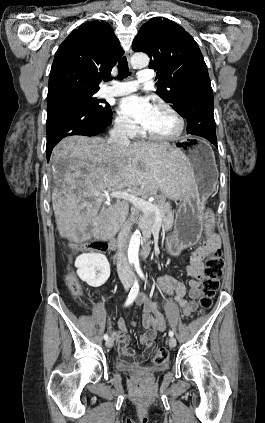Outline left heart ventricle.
Here are the masks:
<instances>
[{"mask_svg":"<svg viewBox=\"0 0 265 423\" xmlns=\"http://www.w3.org/2000/svg\"><path fill=\"white\" fill-rule=\"evenodd\" d=\"M144 127L153 133L168 135L177 130L178 123L169 112L155 107L150 120Z\"/></svg>","mask_w":265,"mask_h":423,"instance_id":"b2bd125f","label":"left heart ventricle"}]
</instances>
